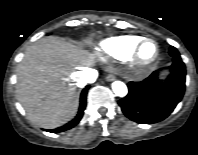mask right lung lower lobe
I'll list each match as a JSON object with an SVG mask.
<instances>
[{
	"label": "right lung lower lobe",
	"instance_id": "1",
	"mask_svg": "<svg viewBox=\"0 0 198 155\" xmlns=\"http://www.w3.org/2000/svg\"><path fill=\"white\" fill-rule=\"evenodd\" d=\"M88 87H86L81 94V100H80V108H79V112L78 115L76 116V118L74 120H72L71 122H69L66 126L58 128V129H53V130H49V132H60V131H64L67 130L69 128H72L73 126H75L80 119L82 118L83 115V111L85 109L86 106V93H87Z\"/></svg>",
	"mask_w": 198,
	"mask_h": 155
}]
</instances>
